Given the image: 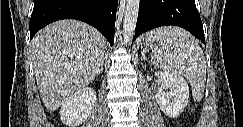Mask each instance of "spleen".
<instances>
[{
  "instance_id": "spleen-1",
  "label": "spleen",
  "mask_w": 243,
  "mask_h": 127,
  "mask_svg": "<svg viewBox=\"0 0 243 127\" xmlns=\"http://www.w3.org/2000/svg\"><path fill=\"white\" fill-rule=\"evenodd\" d=\"M151 37L159 42V50L151 57L153 64L165 73L185 76L194 99L200 101L206 81V61L193 36L177 27H165Z\"/></svg>"
}]
</instances>
